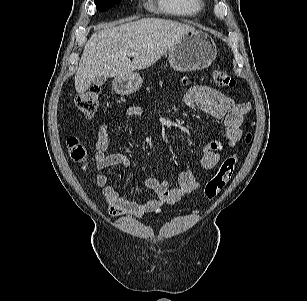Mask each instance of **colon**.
<instances>
[{
	"label": "colon",
	"instance_id": "5ec220e1",
	"mask_svg": "<svg viewBox=\"0 0 307 301\" xmlns=\"http://www.w3.org/2000/svg\"><path fill=\"white\" fill-rule=\"evenodd\" d=\"M212 78L214 82L221 87L231 88L235 85L234 78L229 73L222 70H214ZM99 101V89L91 88L78 94L75 103L81 114L85 118L91 119L97 112ZM250 141L251 134H247L246 142L249 143ZM68 148L74 161L83 163L86 160L88 147L79 139L70 138L68 140ZM237 163L238 158L236 156H229L223 160L216 174L207 181L204 187V195L207 199L212 200L221 192L231 178Z\"/></svg>",
	"mask_w": 307,
	"mask_h": 301
}]
</instances>
